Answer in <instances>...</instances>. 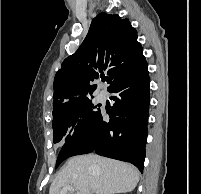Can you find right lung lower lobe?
Returning <instances> with one entry per match:
<instances>
[{
	"mask_svg": "<svg viewBox=\"0 0 201 194\" xmlns=\"http://www.w3.org/2000/svg\"><path fill=\"white\" fill-rule=\"evenodd\" d=\"M149 73L143 57L126 75L109 88L114 92V105L110 120H103V114L83 131L66 141L60 154L65 157L97 154L134 164L141 172L145 159L147 121L149 112Z\"/></svg>",
	"mask_w": 201,
	"mask_h": 194,
	"instance_id": "right-lung-lower-lobe-1",
	"label": "right lung lower lobe"
}]
</instances>
